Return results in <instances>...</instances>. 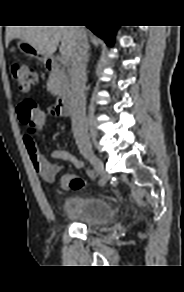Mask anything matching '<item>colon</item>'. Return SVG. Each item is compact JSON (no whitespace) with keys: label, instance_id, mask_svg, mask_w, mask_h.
Wrapping results in <instances>:
<instances>
[{"label":"colon","instance_id":"1","mask_svg":"<svg viewBox=\"0 0 184 292\" xmlns=\"http://www.w3.org/2000/svg\"><path fill=\"white\" fill-rule=\"evenodd\" d=\"M11 73L21 92H28L37 80L35 69L22 61L12 63ZM17 112L20 122L26 127L28 133L33 135L42 129L45 116L34 101L29 99L22 101L18 105ZM66 184L72 190L82 189L86 186L84 180L74 175L67 176Z\"/></svg>","mask_w":184,"mask_h":292}]
</instances>
